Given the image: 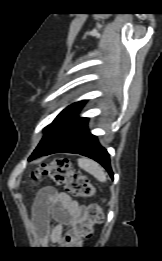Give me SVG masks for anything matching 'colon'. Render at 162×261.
<instances>
[{"instance_id": "colon-1", "label": "colon", "mask_w": 162, "mask_h": 261, "mask_svg": "<svg viewBox=\"0 0 162 261\" xmlns=\"http://www.w3.org/2000/svg\"><path fill=\"white\" fill-rule=\"evenodd\" d=\"M48 175L51 180L74 197L86 198L94 194L95 188L88 178L79 170L72 167L67 158H56L50 163L42 164L32 173V179L38 180L40 176ZM103 221V213L98 204L88 205L74 227L73 240L81 245L84 240L91 238L93 225Z\"/></svg>"}]
</instances>
